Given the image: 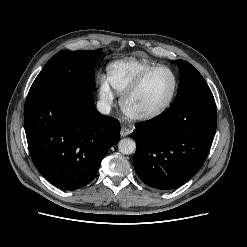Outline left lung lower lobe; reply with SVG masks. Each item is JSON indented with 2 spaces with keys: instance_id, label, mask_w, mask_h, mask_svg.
<instances>
[{
  "instance_id": "1",
  "label": "left lung lower lobe",
  "mask_w": 247,
  "mask_h": 247,
  "mask_svg": "<svg viewBox=\"0 0 247 247\" xmlns=\"http://www.w3.org/2000/svg\"><path fill=\"white\" fill-rule=\"evenodd\" d=\"M217 113L213 95L176 103L149 125L137 124L133 164L146 185L170 190L190 180L204 164L213 142Z\"/></svg>"
}]
</instances>
